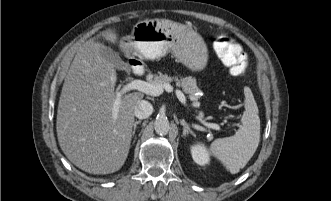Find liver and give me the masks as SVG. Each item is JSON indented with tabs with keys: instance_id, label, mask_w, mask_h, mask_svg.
Segmentation results:
<instances>
[{
	"instance_id": "6515ba94",
	"label": "liver",
	"mask_w": 331,
	"mask_h": 201,
	"mask_svg": "<svg viewBox=\"0 0 331 201\" xmlns=\"http://www.w3.org/2000/svg\"><path fill=\"white\" fill-rule=\"evenodd\" d=\"M118 43L114 29L100 33ZM90 40L78 48L65 78L57 110L56 130L61 150L79 169L91 174L118 171L129 153L134 109L144 94L121 97L118 117H112L116 99L115 67Z\"/></svg>"
}]
</instances>
